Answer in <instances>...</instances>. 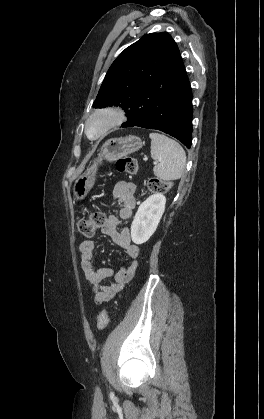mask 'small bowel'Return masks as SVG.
Returning a JSON list of instances; mask_svg holds the SVG:
<instances>
[{
    "instance_id": "c3829d8e",
    "label": "small bowel",
    "mask_w": 264,
    "mask_h": 419,
    "mask_svg": "<svg viewBox=\"0 0 264 419\" xmlns=\"http://www.w3.org/2000/svg\"><path fill=\"white\" fill-rule=\"evenodd\" d=\"M135 190L136 186L131 182L120 181L114 185L112 196L119 204V215H109L100 228L102 233L110 236L116 245L125 250L128 260V265L120 268L111 284L106 285L104 281L112 276V269L109 267L95 268L93 265L95 241L85 240L80 244L81 267L92 286L96 304H102L114 298L133 278L137 268L139 247L132 242L129 228H118L121 220L127 221L132 217L136 206Z\"/></svg>"
}]
</instances>
